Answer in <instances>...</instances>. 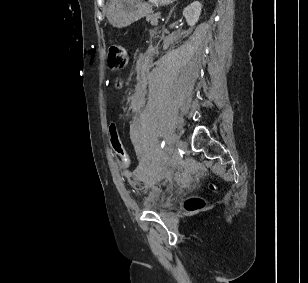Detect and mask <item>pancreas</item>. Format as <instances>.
Returning <instances> with one entry per match:
<instances>
[{"label":"pancreas","instance_id":"obj_1","mask_svg":"<svg viewBox=\"0 0 308 283\" xmlns=\"http://www.w3.org/2000/svg\"><path fill=\"white\" fill-rule=\"evenodd\" d=\"M158 18L159 16L156 14L147 15L146 20L151 23L152 26L158 25Z\"/></svg>","mask_w":308,"mask_h":283}]
</instances>
